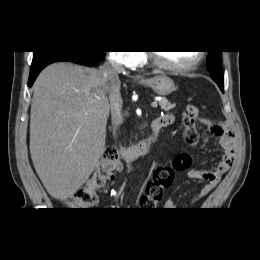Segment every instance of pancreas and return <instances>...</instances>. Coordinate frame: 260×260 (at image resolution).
Returning a JSON list of instances; mask_svg holds the SVG:
<instances>
[{
	"mask_svg": "<svg viewBox=\"0 0 260 260\" xmlns=\"http://www.w3.org/2000/svg\"><path fill=\"white\" fill-rule=\"evenodd\" d=\"M160 107L164 111H170L173 109L176 104L169 102L166 98H163L162 100L159 101Z\"/></svg>",
	"mask_w": 260,
	"mask_h": 260,
	"instance_id": "1",
	"label": "pancreas"
}]
</instances>
